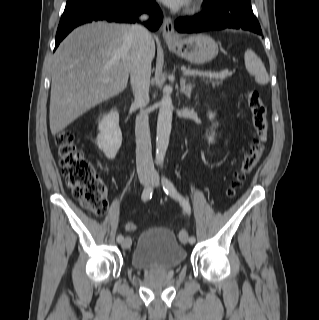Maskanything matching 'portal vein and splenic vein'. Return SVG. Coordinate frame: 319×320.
<instances>
[{"instance_id": "1", "label": "portal vein and splenic vein", "mask_w": 319, "mask_h": 320, "mask_svg": "<svg viewBox=\"0 0 319 320\" xmlns=\"http://www.w3.org/2000/svg\"><path fill=\"white\" fill-rule=\"evenodd\" d=\"M183 74L186 76H204L215 79H225L230 74L228 70H224L222 72H209V71H199V70H187L183 69Z\"/></svg>"}]
</instances>
